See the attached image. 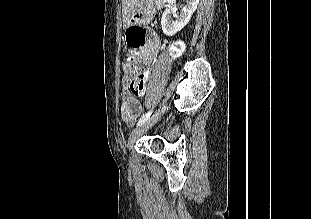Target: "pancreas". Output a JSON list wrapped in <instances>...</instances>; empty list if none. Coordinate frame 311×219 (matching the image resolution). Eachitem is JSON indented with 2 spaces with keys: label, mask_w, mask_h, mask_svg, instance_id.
<instances>
[{
  "label": "pancreas",
  "mask_w": 311,
  "mask_h": 219,
  "mask_svg": "<svg viewBox=\"0 0 311 219\" xmlns=\"http://www.w3.org/2000/svg\"><path fill=\"white\" fill-rule=\"evenodd\" d=\"M163 0H155L156 7L159 8L162 5Z\"/></svg>",
  "instance_id": "cf45deb5"
}]
</instances>
